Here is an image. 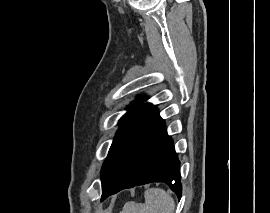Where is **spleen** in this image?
Instances as JSON below:
<instances>
[{
    "instance_id": "3e777b00",
    "label": "spleen",
    "mask_w": 270,
    "mask_h": 213,
    "mask_svg": "<svg viewBox=\"0 0 270 213\" xmlns=\"http://www.w3.org/2000/svg\"><path fill=\"white\" fill-rule=\"evenodd\" d=\"M144 196V204L129 202L124 205L122 213H174V199L165 190L151 188L145 191Z\"/></svg>"
}]
</instances>
